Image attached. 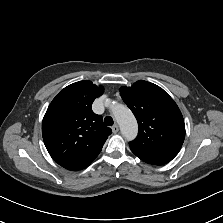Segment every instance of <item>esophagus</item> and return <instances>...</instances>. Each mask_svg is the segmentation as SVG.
<instances>
[{
  "instance_id": "obj_1",
  "label": "esophagus",
  "mask_w": 223,
  "mask_h": 223,
  "mask_svg": "<svg viewBox=\"0 0 223 223\" xmlns=\"http://www.w3.org/2000/svg\"><path fill=\"white\" fill-rule=\"evenodd\" d=\"M111 129H112V132H113V133H118V131H119V127H118L117 124H114V125L111 127Z\"/></svg>"
}]
</instances>
